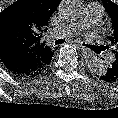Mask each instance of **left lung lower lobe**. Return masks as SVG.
<instances>
[{
    "label": "left lung lower lobe",
    "mask_w": 118,
    "mask_h": 118,
    "mask_svg": "<svg viewBox=\"0 0 118 118\" xmlns=\"http://www.w3.org/2000/svg\"><path fill=\"white\" fill-rule=\"evenodd\" d=\"M101 79L106 82H118V71L113 68H107L106 72L100 75Z\"/></svg>",
    "instance_id": "obj_1"
}]
</instances>
